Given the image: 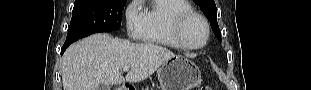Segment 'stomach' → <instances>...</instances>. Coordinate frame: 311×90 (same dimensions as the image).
I'll use <instances>...</instances> for the list:
<instances>
[{
    "label": "stomach",
    "instance_id": "0dacf381",
    "mask_svg": "<svg viewBox=\"0 0 311 90\" xmlns=\"http://www.w3.org/2000/svg\"><path fill=\"white\" fill-rule=\"evenodd\" d=\"M161 90H191L201 83L198 67L183 56H175L158 70Z\"/></svg>",
    "mask_w": 311,
    "mask_h": 90
}]
</instances>
